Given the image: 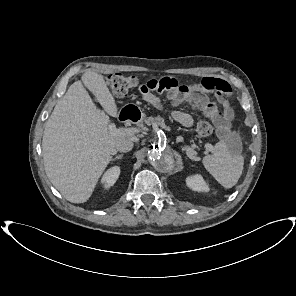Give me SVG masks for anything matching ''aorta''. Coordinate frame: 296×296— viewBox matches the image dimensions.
Listing matches in <instances>:
<instances>
[{
    "mask_svg": "<svg viewBox=\"0 0 296 296\" xmlns=\"http://www.w3.org/2000/svg\"><path fill=\"white\" fill-rule=\"evenodd\" d=\"M147 157L150 164L158 171H167L174 166V155L166 147L149 148Z\"/></svg>",
    "mask_w": 296,
    "mask_h": 296,
    "instance_id": "1",
    "label": "aorta"
}]
</instances>
